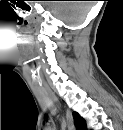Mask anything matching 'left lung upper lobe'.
I'll use <instances>...</instances> for the list:
<instances>
[{"mask_svg":"<svg viewBox=\"0 0 123 130\" xmlns=\"http://www.w3.org/2000/svg\"><path fill=\"white\" fill-rule=\"evenodd\" d=\"M73 118H74L75 126L78 130L87 129L85 120L83 118H81L78 113L73 112Z\"/></svg>","mask_w":123,"mask_h":130,"instance_id":"obj_1","label":"left lung upper lobe"}]
</instances>
